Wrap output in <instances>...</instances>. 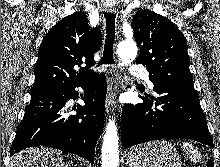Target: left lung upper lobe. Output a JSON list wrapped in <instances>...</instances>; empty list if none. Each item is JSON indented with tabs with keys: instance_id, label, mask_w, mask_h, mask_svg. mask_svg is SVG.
Wrapping results in <instances>:
<instances>
[{
	"instance_id": "5c2ea615",
	"label": "left lung upper lobe",
	"mask_w": 220,
	"mask_h": 167,
	"mask_svg": "<svg viewBox=\"0 0 220 167\" xmlns=\"http://www.w3.org/2000/svg\"><path fill=\"white\" fill-rule=\"evenodd\" d=\"M132 27L140 48L136 63L148 69L154 87L175 84L194 88L186 40L168 18L151 10H139Z\"/></svg>"
}]
</instances>
